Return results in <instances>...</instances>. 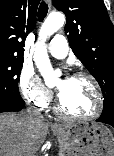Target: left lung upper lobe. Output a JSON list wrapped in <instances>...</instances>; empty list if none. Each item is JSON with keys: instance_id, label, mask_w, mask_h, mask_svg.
<instances>
[{"instance_id": "5c2ea615", "label": "left lung upper lobe", "mask_w": 114, "mask_h": 156, "mask_svg": "<svg viewBox=\"0 0 114 156\" xmlns=\"http://www.w3.org/2000/svg\"><path fill=\"white\" fill-rule=\"evenodd\" d=\"M53 2L67 17L65 32L72 51L101 87V116L114 118V26L103 0Z\"/></svg>"}]
</instances>
